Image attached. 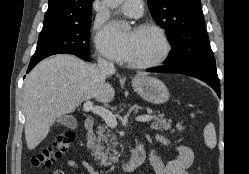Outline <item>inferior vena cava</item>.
<instances>
[{
	"label": "inferior vena cava",
	"mask_w": 249,
	"mask_h": 174,
	"mask_svg": "<svg viewBox=\"0 0 249 174\" xmlns=\"http://www.w3.org/2000/svg\"><path fill=\"white\" fill-rule=\"evenodd\" d=\"M97 68L104 76L112 75L115 72V68L112 62H108L104 59H98Z\"/></svg>",
	"instance_id": "obj_1"
}]
</instances>
